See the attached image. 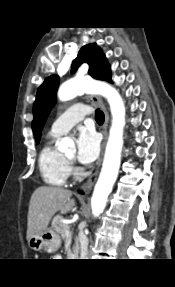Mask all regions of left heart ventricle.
Masks as SVG:
<instances>
[{
  "mask_svg": "<svg viewBox=\"0 0 175 287\" xmlns=\"http://www.w3.org/2000/svg\"><path fill=\"white\" fill-rule=\"evenodd\" d=\"M73 156H74V154H70V155H68V157H69V158H72Z\"/></svg>",
  "mask_w": 175,
  "mask_h": 287,
  "instance_id": "1",
  "label": "left heart ventricle"
}]
</instances>
